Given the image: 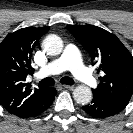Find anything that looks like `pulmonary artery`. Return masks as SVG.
Instances as JSON below:
<instances>
[{"instance_id":"obj_1","label":"pulmonary artery","mask_w":133,"mask_h":133,"mask_svg":"<svg viewBox=\"0 0 133 133\" xmlns=\"http://www.w3.org/2000/svg\"><path fill=\"white\" fill-rule=\"evenodd\" d=\"M65 70H70L79 80L88 86L94 87L97 84L91 72L84 66L79 50L73 44H68L60 57L43 66L38 76L55 75Z\"/></svg>"}]
</instances>
